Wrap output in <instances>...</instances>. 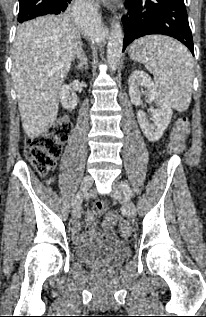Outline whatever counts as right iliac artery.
<instances>
[{
    "label": "right iliac artery",
    "mask_w": 206,
    "mask_h": 317,
    "mask_svg": "<svg viewBox=\"0 0 206 317\" xmlns=\"http://www.w3.org/2000/svg\"><path fill=\"white\" fill-rule=\"evenodd\" d=\"M80 198H81V193H77L72 201V207L76 205V203L79 201Z\"/></svg>",
    "instance_id": "82829eb1"
}]
</instances>
